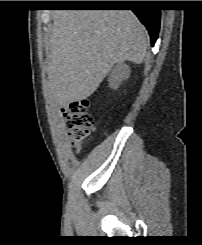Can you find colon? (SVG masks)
Masks as SVG:
<instances>
[{
  "label": "colon",
  "instance_id": "obj_1",
  "mask_svg": "<svg viewBox=\"0 0 202 245\" xmlns=\"http://www.w3.org/2000/svg\"><path fill=\"white\" fill-rule=\"evenodd\" d=\"M73 145L81 148L93 127V118L86 100L74 101L62 109Z\"/></svg>",
  "mask_w": 202,
  "mask_h": 245
}]
</instances>
